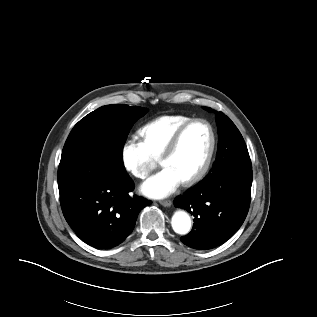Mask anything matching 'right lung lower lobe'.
I'll use <instances>...</instances> for the list:
<instances>
[{
    "label": "right lung lower lobe",
    "mask_w": 317,
    "mask_h": 317,
    "mask_svg": "<svg viewBox=\"0 0 317 317\" xmlns=\"http://www.w3.org/2000/svg\"><path fill=\"white\" fill-rule=\"evenodd\" d=\"M124 166L98 160L59 181L64 217L76 235L97 249L121 244L132 232L139 212L151 201L134 195Z\"/></svg>",
    "instance_id": "obj_1"
}]
</instances>
